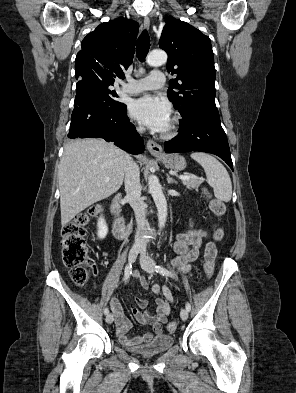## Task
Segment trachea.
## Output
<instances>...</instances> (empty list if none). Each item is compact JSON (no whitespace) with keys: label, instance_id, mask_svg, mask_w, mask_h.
<instances>
[{"label":"trachea","instance_id":"obj_1","mask_svg":"<svg viewBox=\"0 0 296 393\" xmlns=\"http://www.w3.org/2000/svg\"><path fill=\"white\" fill-rule=\"evenodd\" d=\"M150 48V38L146 31H143L137 40V57L140 62H144Z\"/></svg>","mask_w":296,"mask_h":393}]
</instances>
